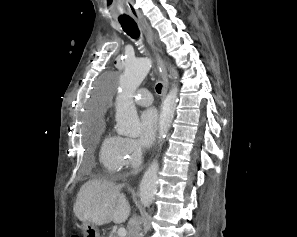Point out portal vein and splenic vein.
<instances>
[{
	"label": "portal vein and splenic vein",
	"mask_w": 297,
	"mask_h": 237,
	"mask_svg": "<svg viewBox=\"0 0 297 237\" xmlns=\"http://www.w3.org/2000/svg\"><path fill=\"white\" fill-rule=\"evenodd\" d=\"M126 230L124 228H119L117 231V234L119 237H125L126 236Z\"/></svg>",
	"instance_id": "18ae733b"
}]
</instances>
